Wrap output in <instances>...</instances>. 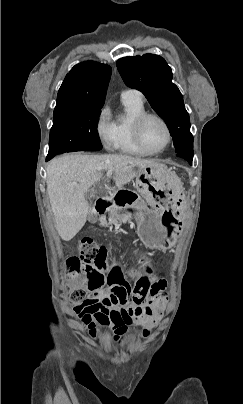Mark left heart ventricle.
I'll list each match as a JSON object with an SVG mask.
<instances>
[{
    "label": "left heart ventricle",
    "instance_id": "1",
    "mask_svg": "<svg viewBox=\"0 0 243 404\" xmlns=\"http://www.w3.org/2000/svg\"><path fill=\"white\" fill-rule=\"evenodd\" d=\"M141 135L145 143L154 149L164 147L168 141V132L165 125L156 117L144 121Z\"/></svg>",
    "mask_w": 243,
    "mask_h": 404
}]
</instances>
